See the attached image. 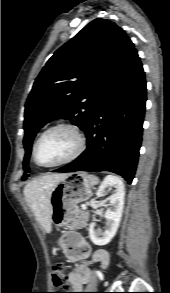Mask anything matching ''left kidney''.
I'll list each match as a JSON object with an SVG mask.
<instances>
[{"label": "left kidney", "mask_w": 170, "mask_h": 293, "mask_svg": "<svg viewBox=\"0 0 170 293\" xmlns=\"http://www.w3.org/2000/svg\"><path fill=\"white\" fill-rule=\"evenodd\" d=\"M115 188V192L110 196V208L104 214L106 219L105 230L95 229V224L89 226V236L91 241L98 246L108 244L115 236L122 217L124 207L125 188L121 179L116 176H107L99 186L96 195L104 196L107 188Z\"/></svg>", "instance_id": "obj_1"}]
</instances>
